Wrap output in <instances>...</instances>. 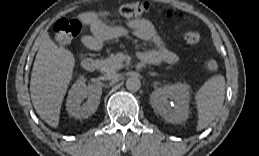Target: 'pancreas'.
Wrapping results in <instances>:
<instances>
[{
	"mask_svg": "<svg viewBox=\"0 0 259 156\" xmlns=\"http://www.w3.org/2000/svg\"><path fill=\"white\" fill-rule=\"evenodd\" d=\"M123 58L119 54H111L110 57L101 60V72L112 73L123 68Z\"/></svg>",
	"mask_w": 259,
	"mask_h": 156,
	"instance_id": "obj_1",
	"label": "pancreas"
}]
</instances>
